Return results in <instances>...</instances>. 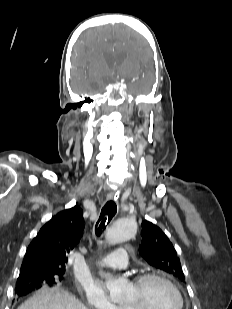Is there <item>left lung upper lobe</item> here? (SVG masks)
I'll use <instances>...</instances> for the list:
<instances>
[{
    "mask_svg": "<svg viewBox=\"0 0 232 309\" xmlns=\"http://www.w3.org/2000/svg\"><path fill=\"white\" fill-rule=\"evenodd\" d=\"M141 226L143 239L139 251L142 257L149 265L184 280L180 259L165 233L149 221L142 222Z\"/></svg>",
    "mask_w": 232,
    "mask_h": 309,
    "instance_id": "left-lung-upper-lobe-1",
    "label": "left lung upper lobe"
}]
</instances>
